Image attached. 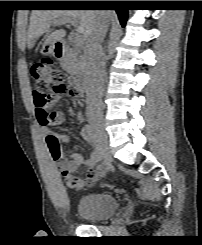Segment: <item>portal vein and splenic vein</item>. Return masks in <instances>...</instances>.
<instances>
[{
	"instance_id": "1",
	"label": "portal vein and splenic vein",
	"mask_w": 202,
	"mask_h": 245,
	"mask_svg": "<svg viewBox=\"0 0 202 245\" xmlns=\"http://www.w3.org/2000/svg\"><path fill=\"white\" fill-rule=\"evenodd\" d=\"M64 24H71L72 26L75 27L77 25V22L76 19H65V20L55 22V25L57 26L64 25ZM74 42L77 45H81L84 42V37L80 33H77L74 37Z\"/></svg>"
}]
</instances>
